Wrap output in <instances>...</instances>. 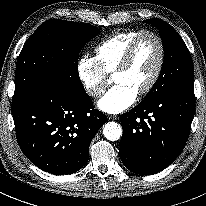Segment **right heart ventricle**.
<instances>
[{
    "mask_svg": "<svg viewBox=\"0 0 206 206\" xmlns=\"http://www.w3.org/2000/svg\"><path fill=\"white\" fill-rule=\"evenodd\" d=\"M141 32L140 30L118 32L103 40L96 47V59L105 73L110 74L115 71L128 46Z\"/></svg>",
    "mask_w": 206,
    "mask_h": 206,
    "instance_id": "1",
    "label": "right heart ventricle"
}]
</instances>
